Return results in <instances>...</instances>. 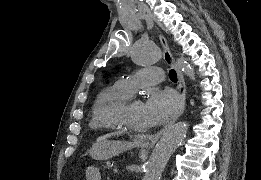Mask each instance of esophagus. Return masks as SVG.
<instances>
[{
	"label": "esophagus",
	"instance_id": "1",
	"mask_svg": "<svg viewBox=\"0 0 261 180\" xmlns=\"http://www.w3.org/2000/svg\"><path fill=\"white\" fill-rule=\"evenodd\" d=\"M160 43L163 50V59L164 61L175 68L178 82H179V95H180V105L176 112V114L171 118V120L165 125L161 130L157 133L149 134V135H138L137 141L145 148H152L154 147L155 143L159 140V138L167 132V130L173 125V123L178 120L180 115L183 113L185 104H186V86L184 82V78L180 68L175 64L174 58L169 50L168 43L166 38L159 34Z\"/></svg>",
	"mask_w": 261,
	"mask_h": 180
}]
</instances>
